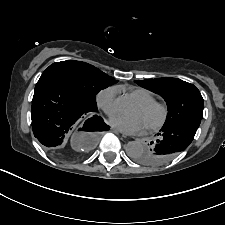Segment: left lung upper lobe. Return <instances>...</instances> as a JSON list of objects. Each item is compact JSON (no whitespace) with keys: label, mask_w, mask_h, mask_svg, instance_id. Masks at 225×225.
<instances>
[{"label":"left lung upper lobe","mask_w":225,"mask_h":225,"mask_svg":"<svg viewBox=\"0 0 225 225\" xmlns=\"http://www.w3.org/2000/svg\"><path fill=\"white\" fill-rule=\"evenodd\" d=\"M135 82L141 87L160 94L166 101L168 114L162 128L189 118H203V98L193 84L170 77L137 80ZM152 147L153 145L135 159L146 165Z\"/></svg>","instance_id":"1"}]
</instances>
